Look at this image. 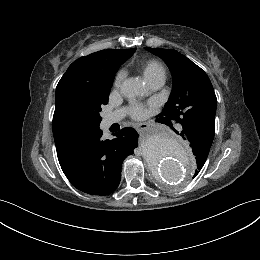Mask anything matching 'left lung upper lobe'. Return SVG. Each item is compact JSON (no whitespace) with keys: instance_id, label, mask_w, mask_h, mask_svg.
I'll use <instances>...</instances> for the list:
<instances>
[{"instance_id":"left-lung-upper-lobe-1","label":"left lung upper lobe","mask_w":260,"mask_h":260,"mask_svg":"<svg viewBox=\"0 0 260 260\" xmlns=\"http://www.w3.org/2000/svg\"><path fill=\"white\" fill-rule=\"evenodd\" d=\"M146 49L163 58L173 76L170 97L159 116L175 119L183 127H190L213 140L217 98L206 73L176 50ZM205 161H197V173Z\"/></svg>"}]
</instances>
